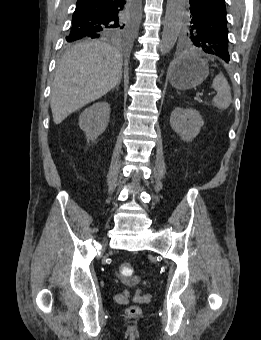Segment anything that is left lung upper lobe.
<instances>
[{"mask_svg": "<svg viewBox=\"0 0 261 340\" xmlns=\"http://www.w3.org/2000/svg\"><path fill=\"white\" fill-rule=\"evenodd\" d=\"M191 17L183 32L184 47L196 46L224 61L230 59L226 16L209 15L204 18L190 15Z\"/></svg>", "mask_w": 261, "mask_h": 340, "instance_id": "obj_1", "label": "left lung upper lobe"}]
</instances>
